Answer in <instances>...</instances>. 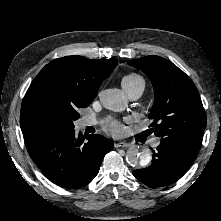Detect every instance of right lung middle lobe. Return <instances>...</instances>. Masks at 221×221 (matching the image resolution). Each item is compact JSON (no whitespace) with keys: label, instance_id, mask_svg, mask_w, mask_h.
<instances>
[{"label":"right lung middle lobe","instance_id":"right-lung-middle-lobe-1","mask_svg":"<svg viewBox=\"0 0 221 221\" xmlns=\"http://www.w3.org/2000/svg\"><path fill=\"white\" fill-rule=\"evenodd\" d=\"M39 105L48 116L57 122L60 132H63L74 130V121L79 118L78 110L89 104L72 100L42 98Z\"/></svg>","mask_w":221,"mask_h":221}]
</instances>
